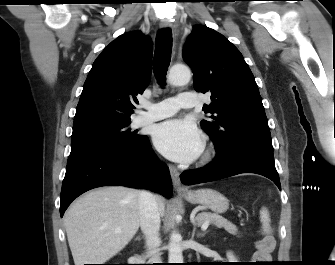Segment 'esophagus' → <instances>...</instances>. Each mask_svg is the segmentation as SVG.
Masks as SVG:
<instances>
[{
	"label": "esophagus",
	"instance_id": "1",
	"mask_svg": "<svg viewBox=\"0 0 335 265\" xmlns=\"http://www.w3.org/2000/svg\"><path fill=\"white\" fill-rule=\"evenodd\" d=\"M161 28H171L172 24L168 20H161ZM170 174L173 182V186L177 191H187L185 187L181 185L180 174L174 166H170Z\"/></svg>",
	"mask_w": 335,
	"mask_h": 265
}]
</instances>
